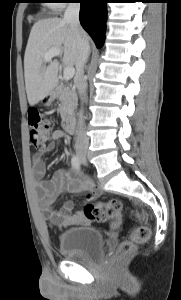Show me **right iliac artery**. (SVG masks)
<instances>
[{
	"label": "right iliac artery",
	"mask_w": 181,
	"mask_h": 300,
	"mask_svg": "<svg viewBox=\"0 0 181 300\" xmlns=\"http://www.w3.org/2000/svg\"><path fill=\"white\" fill-rule=\"evenodd\" d=\"M71 164L72 166L77 169V170H80V160L78 158L77 155H73L72 159H71Z\"/></svg>",
	"instance_id": "82829eb1"
}]
</instances>
